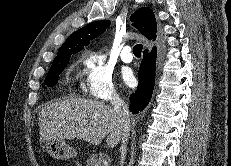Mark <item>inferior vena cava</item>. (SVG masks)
<instances>
[{"label":"inferior vena cava","instance_id":"inferior-vena-cava-1","mask_svg":"<svg viewBox=\"0 0 231 166\" xmlns=\"http://www.w3.org/2000/svg\"><path fill=\"white\" fill-rule=\"evenodd\" d=\"M111 103L116 113L121 117L122 124H123V138H122V146L120 148V153H121L120 165L123 166V162L125 160V156L127 152V139H128L129 131H130L129 109L126 103L124 102V100L117 94L112 95Z\"/></svg>","mask_w":231,"mask_h":166}]
</instances>
